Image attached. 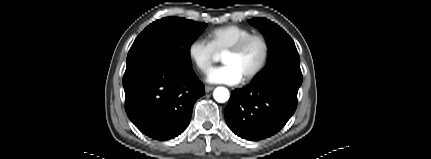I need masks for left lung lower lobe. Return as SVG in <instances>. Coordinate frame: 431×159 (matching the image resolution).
Returning <instances> with one entry per match:
<instances>
[{"mask_svg": "<svg viewBox=\"0 0 431 159\" xmlns=\"http://www.w3.org/2000/svg\"><path fill=\"white\" fill-rule=\"evenodd\" d=\"M301 83L302 75L281 72L232 91L224 111L229 128L251 141L273 136L295 112Z\"/></svg>", "mask_w": 431, "mask_h": 159, "instance_id": "0a47b994", "label": "left lung lower lobe"}]
</instances>
